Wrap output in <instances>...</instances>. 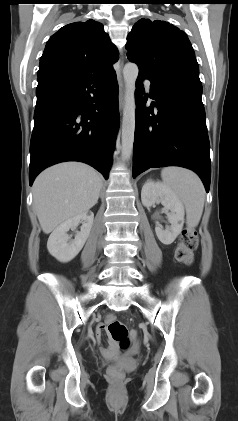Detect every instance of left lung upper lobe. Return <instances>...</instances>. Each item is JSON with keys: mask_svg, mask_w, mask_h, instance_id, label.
Returning <instances> with one entry per match:
<instances>
[{"mask_svg": "<svg viewBox=\"0 0 238 421\" xmlns=\"http://www.w3.org/2000/svg\"><path fill=\"white\" fill-rule=\"evenodd\" d=\"M126 49L128 59L138 65L139 74L152 80L199 75L187 35L168 22L142 18L128 34Z\"/></svg>", "mask_w": 238, "mask_h": 421, "instance_id": "left-lung-upper-lobe-1", "label": "left lung upper lobe"}]
</instances>
